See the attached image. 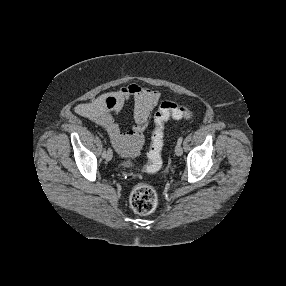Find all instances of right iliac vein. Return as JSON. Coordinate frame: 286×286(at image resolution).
<instances>
[{
  "label": "right iliac vein",
  "instance_id": "1",
  "mask_svg": "<svg viewBox=\"0 0 286 286\" xmlns=\"http://www.w3.org/2000/svg\"><path fill=\"white\" fill-rule=\"evenodd\" d=\"M112 156H113L112 150H111V149H108V150L106 151V156H105L106 160H107V161H110V160L112 159Z\"/></svg>",
  "mask_w": 286,
  "mask_h": 286
}]
</instances>
